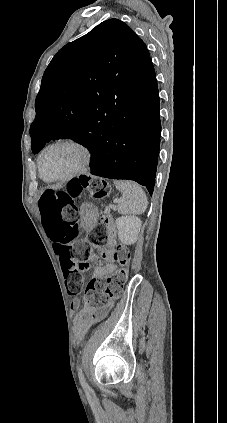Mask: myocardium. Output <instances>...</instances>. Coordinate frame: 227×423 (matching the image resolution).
I'll list each match as a JSON object with an SVG mask.
<instances>
[{
	"label": "myocardium",
	"mask_w": 227,
	"mask_h": 423,
	"mask_svg": "<svg viewBox=\"0 0 227 423\" xmlns=\"http://www.w3.org/2000/svg\"><path fill=\"white\" fill-rule=\"evenodd\" d=\"M59 145H71V146L78 148L83 154V160H82V163L76 169H74L73 171H71L67 174L49 177L44 173V169H43V165H42V159H43L44 154L49 149L56 147V146H59ZM92 162H93V153H92V150L90 149V147L86 143H84L83 141H81L77 138L67 137V138H61L57 141L50 143L40 152L39 158H38V169H39L40 176L48 182H53V181H58V180H71V179L77 178V177L85 174L87 171H89Z\"/></svg>",
	"instance_id": "1"
}]
</instances>
